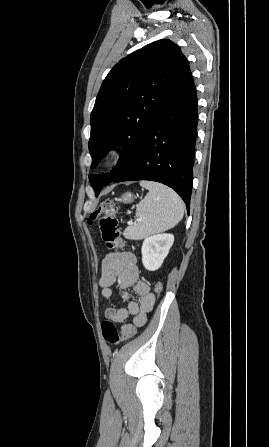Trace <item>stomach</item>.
Here are the masks:
<instances>
[{"mask_svg": "<svg viewBox=\"0 0 269 447\" xmlns=\"http://www.w3.org/2000/svg\"><path fill=\"white\" fill-rule=\"evenodd\" d=\"M134 196L133 194H130V192H125L121 198H117V202H123V204H129V202H132Z\"/></svg>", "mask_w": 269, "mask_h": 447, "instance_id": "1", "label": "stomach"}]
</instances>
